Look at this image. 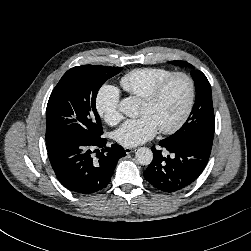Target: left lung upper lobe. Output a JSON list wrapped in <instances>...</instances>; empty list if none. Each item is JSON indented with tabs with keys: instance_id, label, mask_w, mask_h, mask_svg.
<instances>
[{
	"instance_id": "1",
	"label": "left lung upper lobe",
	"mask_w": 251,
	"mask_h": 251,
	"mask_svg": "<svg viewBox=\"0 0 251 251\" xmlns=\"http://www.w3.org/2000/svg\"><path fill=\"white\" fill-rule=\"evenodd\" d=\"M170 63L194 68L186 61H170ZM191 75L196 88V99L193 109L185 124L176 133L164 140L167 142H176L188 138H198L212 145L215 119L211 86L201 71L192 70Z\"/></svg>"
}]
</instances>
